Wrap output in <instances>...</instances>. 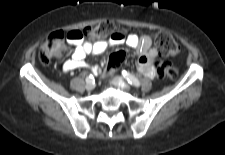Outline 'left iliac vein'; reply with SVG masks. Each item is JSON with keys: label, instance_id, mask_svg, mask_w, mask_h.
<instances>
[{"label": "left iliac vein", "instance_id": "1", "mask_svg": "<svg viewBox=\"0 0 225 155\" xmlns=\"http://www.w3.org/2000/svg\"><path fill=\"white\" fill-rule=\"evenodd\" d=\"M113 81L115 82V83H120V84H122L123 85V87H124V89H126V90H131V86L123 79V78H121V77H119V76H115L114 78H113Z\"/></svg>", "mask_w": 225, "mask_h": 155}]
</instances>
